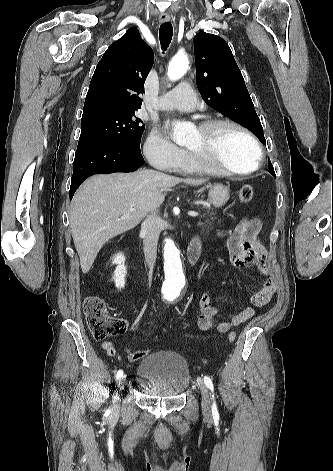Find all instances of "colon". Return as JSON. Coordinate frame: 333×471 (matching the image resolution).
<instances>
[{"instance_id": "1", "label": "colon", "mask_w": 333, "mask_h": 471, "mask_svg": "<svg viewBox=\"0 0 333 471\" xmlns=\"http://www.w3.org/2000/svg\"><path fill=\"white\" fill-rule=\"evenodd\" d=\"M239 200L242 203H248L253 198V188L251 185H244L238 193ZM83 311L86 322L92 336L100 341L108 337L117 336L126 330V322L114 317L108 313L106 304L99 296L87 297L83 304ZM236 333L230 332L228 341L231 343L235 340ZM149 354L146 350L132 351L128 354L131 361H138Z\"/></svg>"}]
</instances>
